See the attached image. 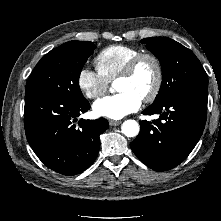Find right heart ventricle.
<instances>
[{
	"label": "right heart ventricle",
	"instance_id": "e07e8e85",
	"mask_svg": "<svg viewBox=\"0 0 221 221\" xmlns=\"http://www.w3.org/2000/svg\"><path fill=\"white\" fill-rule=\"evenodd\" d=\"M141 51L132 46L117 44L101 50L95 58L98 72L109 82L115 80L127 62Z\"/></svg>",
	"mask_w": 221,
	"mask_h": 221
}]
</instances>
